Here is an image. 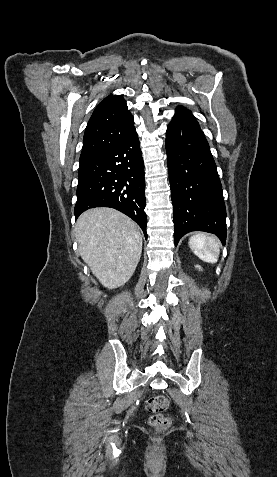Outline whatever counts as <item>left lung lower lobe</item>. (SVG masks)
I'll return each instance as SVG.
<instances>
[{
  "mask_svg": "<svg viewBox=\"0 0 277 477\" xmlns=\"http://www.w3.org/2000/svg\"><path fill=\"white\" fill-rule=\"evenodd\" d=\"M166 151L174 211V242L191 231L226 241L222 186L208 142L196 120L176 118L168 125Z\"/></svg>",
  "mask_w": 277,
  "mask_h": 477,
  "instance_id": "obj_1",
  "label": "left lung lower lobe"
}]
</instances>
